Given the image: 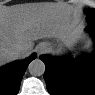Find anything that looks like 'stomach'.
<instances>
[{
	"instance_id": "stomach-1",
	"label": "stomach",
	"mask_w": 95,
	"mask_h": 95,
	"mask_svg": "<svg viewBox=\"0 0 95 95\" xmlns=\"http://www.w3.org/2000/svg\"><path fill=\"white\" fill-rule=\"evenodd\" d=\"M80 37V29L75 27L65 31L61 37L50 44V52L55 55L63 54L67 49L73 48Z\"/></svg>"
}]
</instances>
